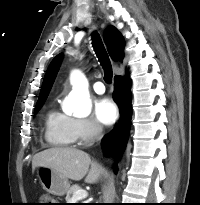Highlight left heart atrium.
<instances>
[{
    "instance_id": "left-heart-atrium-1",
    "label": "left heart atrium",
    "mask_w": 200,
    "mask_h": 205,
    "mask_svg": "<svg viewBox=\"0 0 200 205\" xmlns=\"http://www.w3.org/2000/svg\"><path fill=\"white\" fill-rule=\"evenodd\" d=\"M95 115L102 124L111 125L118 117V108L110 98H103L95 106Z\"/></svg>"
}]
</instances>
